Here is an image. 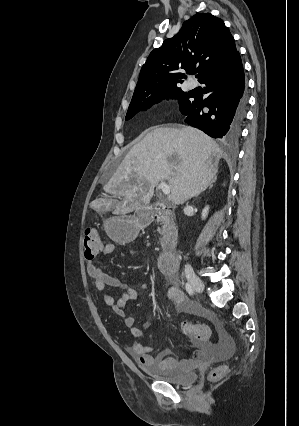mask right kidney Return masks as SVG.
I'll return each mask as SVG.
<instances>
[{
	"mask_svg": "<svg viewBox=\"0 0 299 426\" xmlns=\"http://www.w3.org/2000/svg\"><path fill=\"white\" fill-rule=\"evenodd\" d=\"M208 212H209V206H206L202 211V220L206 219V217L208 216Z\"/></svg>",
	"mask_w": 299,
	"mask_h": 426,
	"instance_id": "ca27d5eb",
	"label": "right kidney"
}]
</instances>
